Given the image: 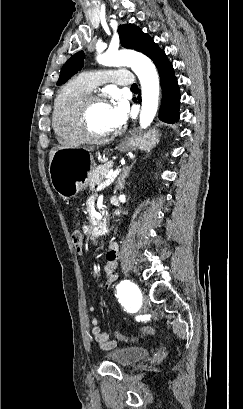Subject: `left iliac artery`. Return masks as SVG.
Returning a JSON list of instances; mask_svg holds the SVG:
<instances>
[{
  "label": "left iliac artery",
  "instance_id": "44dca946",
  "mask_svg": "<svg viewBox=\"0 0 243 409\" xmlns=\"http://www.w3.org/2000/svg\"><path fill=\"white\" fill-rule=\"evenodd\" d=\"M117 296L121 299H127L136 307L141 303V291L132 282L125 280L117 286ZM120 300V302H121Z\"/></svg>",
  "mask_w": 243,
  "mask_h": 409
}]
</instances>
